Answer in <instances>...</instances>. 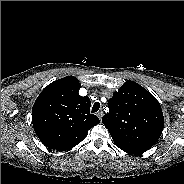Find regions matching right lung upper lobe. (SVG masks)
Masks as SVG:
<instances>
[{
  "label": "right lung upper lobe",
  "mask_w": 184,
  "mask_h": 184,
  "mask_svg": "<svg viewBox=\"0 0 184 184\" xmlns=\"http://www.w3.org/2000/svg\"><path fill=\"white\" fill-rule=\"evenodd\" d=\"M81 84L74 76L48 85L32 107L36 135L50 149L64 151L79 144L100 120L90 114L91 101L80 96Z\"/></svg>",
  "instance_id": "obj_1"
}]
</instances>
